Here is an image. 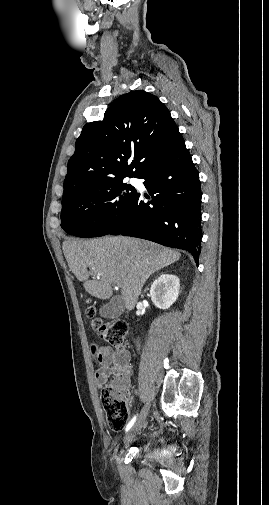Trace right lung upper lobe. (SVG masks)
Wrapping results in <instances>:
<instances>
[{
	"label": "right lung upper lobe",
	"mask_w": 269,
	"mask_h": 505,
	"mask_svg": "<svg viewBox=\"0 0 269 505\" xmlns=\"http://www.w3.org/2000/svg\"><path fill=\"white\" fill-rule=\"evenodd\" d=\"M183 143L169 110L155 95L143 90L121 95L103 120L83 127L68 162L62 201L108 182L138 178ZM129 158L134 159L130 165Z\"/></svg>",
	"instance_id": "cb5924a9"
}]
</instances>
